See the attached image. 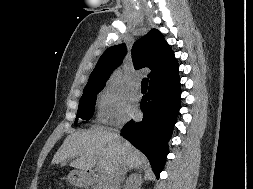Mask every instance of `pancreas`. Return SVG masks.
<instances>
[{"instance_id":"1","label":"pancreas","mask_w":253,"mask_h":189,"mask_svg":"<svg viewBox=\"0 0 253 189\" xmlns=\"http://www.w3.org/2000/svg\"><path fill=\"white\" fill-rule=\"evenodd\" d=\"M93 182H94V186L92 187V189H103V184L100 179L94 178Z\"/></svg>"}]
</instances>
